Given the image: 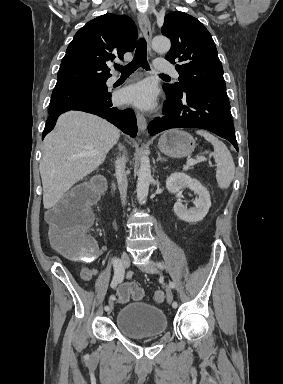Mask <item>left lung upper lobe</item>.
Listing matches in <instances>:
<instances>
[{"label": "left lung upper lobe", "mask_w": 283, "mask_h": 384, "mask_svg": "<svg viewBox=\"0 0 283 384\" xmlns=\"http://www.w3.org/2000/svg\"><path fill=\"white\" fill-rule=\"evenodd\" d=\"M161 31L171 40V49L165 58L171 63L179 62L175 68L180 82L164 84L165 91L180 92L187 85L226 89L215 43L200 21L174 11L165 16Z\"/></svg>", "instance_id": "obj_1"}]
</instances>
